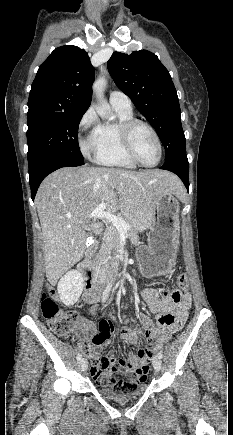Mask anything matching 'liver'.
Wrapping results in <instances>:
<instances>
[{"instance_id": "obj_1", "label": "liver", "mask_w": 233, "mask_h": 435, "mask_svg": "<svg viewBox=\"0 0 233 435\" xmlns=\"http://www.w3.org/2000/svg\"><path fill=\"white\" fill-rule=\"evenodd\" d=\"M184 194L177 176L163 170L128 171L104 167H64L41 183L35 204L40 219L47 280L55 283L85 253L88 228L100 234L102 224L89 215L102 202L120 210L140 231L152 223L159 200Z\"/></svg>"}]
</instances>
